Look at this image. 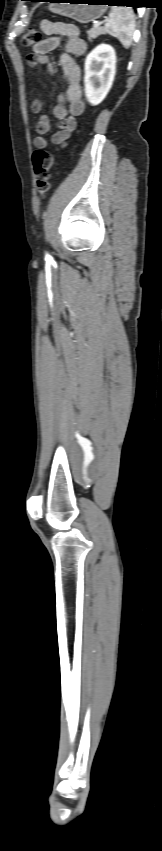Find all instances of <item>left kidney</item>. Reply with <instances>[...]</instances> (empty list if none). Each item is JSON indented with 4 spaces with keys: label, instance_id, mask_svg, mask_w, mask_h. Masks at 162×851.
Returning <instances> with one entry per match:
<instances>
[{
    "label": "left kidney",
    "instance_id": "5707ae66",
    "mask_svg": "<svg viewBox=\"0 0 162 851\" xmlns=\"http://www.w3.org/2000/svg\"><path fill=\"white\" fill-rule=\"evenodd\" d=\"M85 96L95 106L107 96L116 72V54L112 46L101 44L85 59Z\"/></svg>",
    "mask_w": 162,
    "mask_h": 851
}]
</instances>
